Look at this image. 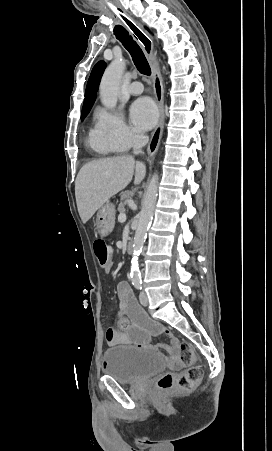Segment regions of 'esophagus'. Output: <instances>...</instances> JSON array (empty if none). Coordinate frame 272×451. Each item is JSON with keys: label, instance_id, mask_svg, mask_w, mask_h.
Instances as JSON below:
<instances>
[{"label": "esophagus", "instance_id": "1", "mask_svg": "<svg viewBox=\"0 0 272 451\" xmlns=\"http://www.w3.org/2000/svg\"><path fill=\"white\" fill-rule=\"evenodd\" d=\"M136 39L141 43L146 58L152 70L153 91L156 103L159 109V121L155 130L153 131L150 142L148 144L147 152L149 156H153L159 146L164 127V104H163V85L159 67L153 55V42L151 38L141 29L135 28L132 30Z\"/></svg>", "mask_w": 272, "mask_h": 451}]
</instances>
